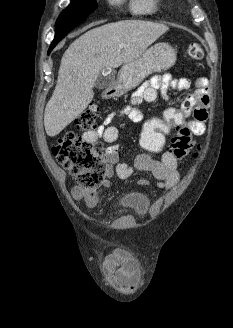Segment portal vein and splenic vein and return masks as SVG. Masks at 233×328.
Wrapping results in <instances>:
<instances>
[{
  "label": "portal vein and splenic vein",
  "instance_id": "1",
  "mask_svg": "<svg viewBox=\"0 0 233 328\" xmlns=\"http://www.w3.org/2000/svg\"><path fill=\"white\" fill-rule=\"evenodd\" d=\"M125 45L123 43L119 44V48H123Z\"/></svg>",
  "mask_w": 233,
  "mask_h": 328
}]
</instances>
